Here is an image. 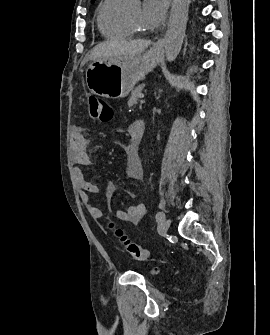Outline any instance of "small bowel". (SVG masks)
<instances>
[{"label": "small bowel", "mask_w": 270, "mask_h": 335, "mask_svg": "<svg viewBox=\"0 0 270 335\" xmlns=\"http://www.w3.org/2000/svg\"><path fill=\"white\" fill-rule=\"evenodd\" d=\"M136 122L130 124L129 134L131 136L129 145L126 149L127 172L131 179L140 180L143 178V166L139 157L140 141L134 135ZM88 139L84 136L81 127L73 126L71 130V157L77 167L74 169V177L81 191V200L86 205L91 217L96 221L103 219L102 210L93 205L90 200V194H98L99 188L94 183L87 180L83 170L80 167L91 166L92 160L88 154ZM116 185L112 181L106 183L105 194L110 199L116 193ZM145 205L137 203L129 206L126 210H118L116 218L119 221L127 223H138L145 213Z\"/></svg>", "instance_id": "obj_1"}]
</instances>
